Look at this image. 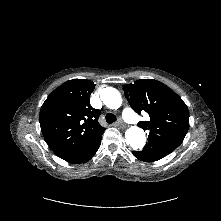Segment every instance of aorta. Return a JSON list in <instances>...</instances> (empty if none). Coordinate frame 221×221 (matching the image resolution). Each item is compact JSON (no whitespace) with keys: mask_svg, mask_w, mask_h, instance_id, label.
<instances>
[{"mask_svg":"<svg viewBox=\"0 0 221 221\" xmlns=\"http://www.w3.org/2000/svg\"><path fill=\"white\" fill-rule=\"evenodd\" d=\"M101 99L103 103L111 109H118L122 104L120 92L112 87H107L102 90ZM125 141L135 150L142 149L146 143V136L141 128L131 126L125 132Z\"/></svg>","mask_w":221,"mask_h":221,"instance_id":"aorta-1","label":"aorta"}]
</instances>
